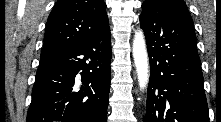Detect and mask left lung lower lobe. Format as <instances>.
<instances>
[{"mask_svg": "<svg viewBox=\"0 0 221 122\" xmlns=\"http://www.w3.org/2000/svg\"><path fill=\"white\" fill-rule=\"evenodd\" d=\"M150 62L144 122H209L192 18L182 0H146L139 17Z\"/></svg>", "mask_w": 221, "mask_h": 122, "instance_id": "1", "label": "left lung lower lobe"}]
</instances>
